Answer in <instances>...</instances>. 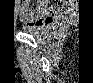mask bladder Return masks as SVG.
Listing matches in <instances>:
<instances>
[{
  "label": "bladder",
  "instance_id": "31cf9c89",
  "mask_svg": "<svg viewBox=\"0 0 93 83\" xmlns=\"http://www.w3.org/2000/svg\"><path fill=\"white\" fill-rule=\"evenodd\" d=\"M29 31L31 34H33L39 38H43L45 36L44 30L41 28L31 27V28H29Z\"/></svg>",
  "mask_w": 93,
  "mask_h": 83
}]
</instances>
